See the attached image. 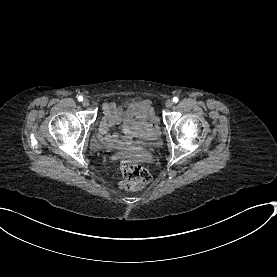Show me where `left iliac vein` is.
Masks as SVG:
<instances>
[{
	"mask_svg": "<svg viewBox=\"0 0 277 277\" xmlns=\"http://www.w3.org/2000/svg\"><path fill=\"white\" fill-rule=\"evenodd\" d=\"M173 104H174L173 100H170V99H168L165 103L167 108H171L173 106Z\"/></svg>",
	"mask_w": 277,
	"mask_h": 277,
	"instance_id": "obj_1",
	"label": "left iliac vein"
}]
</instances>
